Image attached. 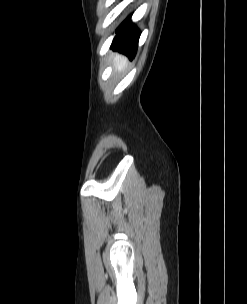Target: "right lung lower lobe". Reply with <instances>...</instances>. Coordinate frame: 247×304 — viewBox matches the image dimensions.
I'll use <instances>...</instances> for the list:
<instances>
[{
    "instance_id": "1",
    "label": "right lung lower lobe",
    "mask_w": 247,
    "mask_h": 304,
    "mask_svg": "<svg viewBox=\"0 0 247 304\" xmlns=\"http://www.w3.org/2000/svg\"><path fill=\"white\" fill-rule=\"evenodd\" d=\"M129 16L116 30L111 48L133 59L138 47L140 31L134 26Z\"/></svg>"
}]
</instances>
